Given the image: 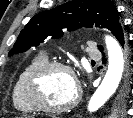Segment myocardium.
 Segmentation results:
<instances>
[{"instance_id":"myocardium-1","label":"myocardium","mask_w":133,"mask_h":118,"mask_svg":"<svg viewBox=\"0 0 133 118\" xmlns=\"http://www.w3.org/2000/svg\"><path fill=\"white\" fill-rule=\"evenodd\" d=\"M67 71L74 79L76 85L75 97L62 106H51L45 103L40 95V87L43 78L53 70ZM25 93L30 104L39 111L47 113H65L72 110L80 101L81 92L76 83L75 73L71 66L60 61L46 62L30 73L25 83Z\"/></svg>"}]
</instances>
